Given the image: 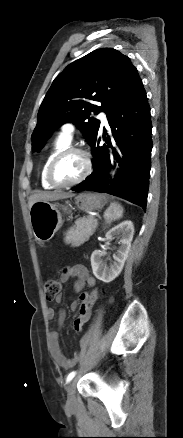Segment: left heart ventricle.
Segmentation results:
<instances>
[{
  "label": "left heart ventricle",
  "mask_w": 183,
  "mask_h": 438,
  "mask_svg": "<svg viewBox=\"0 0 183 438\" xmlns=\"http://www.w3.org/2000/svg\"><path fill=\"white\" fill-rule=\"evenodd\" d=\"M84 168V159L73 153L61 158L53 171V178L58 183H69L78 178Z\"/></svg>",
  "instance_id": "1"
}]
</instances>
